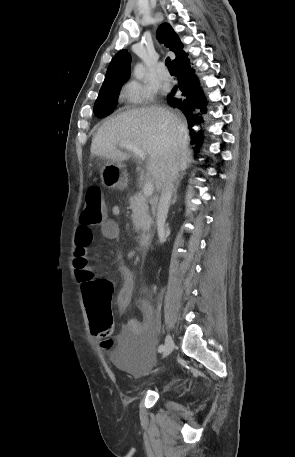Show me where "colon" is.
Returning a JSON list of instances; mask_svg holds the SVG:
<instances>
[{
  "label": "colon",
  "mask_w": 295,
  "mask_h": 457,
  "mask_svg": "<svg viewBox=\"0 0 295 457\" xmlns=\"http://www.w3.org/2000/svg\"><path fill=\"white\" fill-rule=\"evenodd\" d=\"M106 217L107 208L102 191L99 187L93 186L86 193L85 205L80 214V224L87 228L101 226ZM74 267L76 275L83 283V301L91 331L101 339L102 346L110 350L113 347L109 339L112 331L111 285L104 280L95 279V274L84 253L75 256ZM118 348H113L114 354H118Z\"/></svg>",
  "instance_id": "colon-1"
}]
</instances>
